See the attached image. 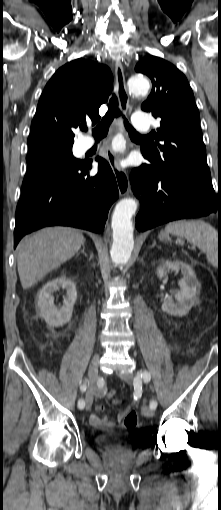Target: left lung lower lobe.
Masks as SVG:
<instances>
[{"instance_id":"1","label":"left lung lower lobe","mask_w":221,"mask_h":510,"mask_svg":"<svg viewBox=\"0 0 221 510\" xmlns=\"http://www.w3.org/2000/svg\"><path fill=\"white\" fill-rule=\"evenodd\" d=\"M148 163L134 169L130 182L140 199L136 228L145 231L173 220L196 218L218 212L221 219V192L215 193L211 180L178 175L166 176ZM221 231V230H220Z\"/></svg>"}]
</instances>
